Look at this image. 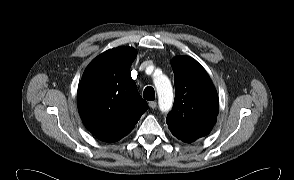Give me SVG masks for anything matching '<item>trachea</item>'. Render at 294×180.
Masks as SVG:
<instances>
[{
	"mask_svg": "<svg viewBox=\"0 0 294 180\" xmlns=\"http://www.w3.org/2000/svg\"><path fill=\"white\" fill-rule=\"evenodd\" d=\"M143 97L146 100L152 101L155 99V91L154 88L151 86H148L145 88L144 93H143Z\"/></svg>",
	"mask_w": 294,
	"mask_h": 180,
	"instance_id": "obj_1",
	"label": "trachea"
}]
</instances>
